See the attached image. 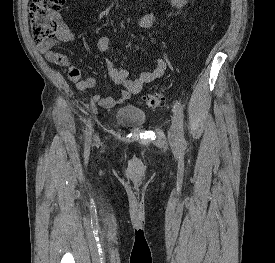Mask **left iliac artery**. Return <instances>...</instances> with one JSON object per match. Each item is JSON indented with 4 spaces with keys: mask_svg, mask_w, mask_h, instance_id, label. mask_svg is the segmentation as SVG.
Wrapping results in <instances>:
<instances>
[{
    "mask_svg": "<svg viewBox=\"0 0 275 263\" xmlns=\"http://www.w3.org/2000/svg\"><path fill=\"white\" fill-rule=\"evenodd\" d=\"M174 110H175V115L178 120L179 124V142L181 144L185 143V138H184V114H183V106L179 101H176L174 104Z\"/></svg>",
    "mask_w": 275,
    "mask_h": 263,
    "instance_id": "obj_1",
    "label": "left iliac artery"
}]
</instances>
